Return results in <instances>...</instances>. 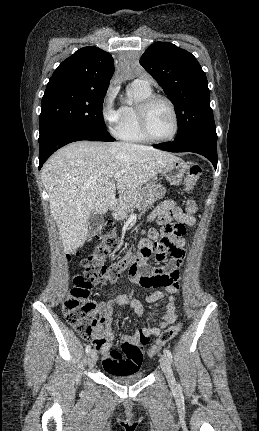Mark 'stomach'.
Listing matches in <instances>:
<instances>
[{"label": "stomach", "mask_w": 259, "mask_h": 431, "mask_svg": "<svg viewBox=\"0 0 259 431\" xmlns=\"http://www.w3.org/2000/svg\"><path fill=\"white\" fill-rule=\"evenodd\" d=\"M188 164L182 159L172 161L168 163L161 170L162 175L166 180L172 185H179L188 169ZM166 193V189L160 183L150 182L145 184L143 188L140 189V197L136 204V207L141 210H146L150 208L154 202L163 198Z\"/></svg>", "instance_id": "0dacf381"}]
</instances>
